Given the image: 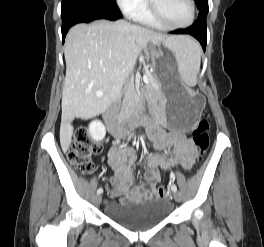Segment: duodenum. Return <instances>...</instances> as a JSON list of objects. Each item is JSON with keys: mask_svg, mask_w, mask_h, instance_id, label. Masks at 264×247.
Masks as SVG:
<instances>
[{"mask_svg": "<svg viewBox=\"0 0 264 247\" xmlns=\"http://www.w3.org/2000/svg\"><path fill=\"white\" fill-rule=\"evenodd\" d=\"M119 111V104H112L105 112V122L108 131L115 136H120L128 132V130L139 123L146 122L149 117L136 109L130 117L123 123H120L116 119V115Z\"/></svg>", "mask_w": 264, "mask_h": 247, "instance_id": "410a0bca", "label": "duodenum"}]
</instances>
